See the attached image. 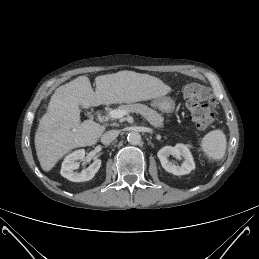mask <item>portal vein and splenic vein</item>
<instances>
[{"label": "portal vein and splenic vein", "mask_w": 259, "mask_h": 259, "mask_svg": "<svg viewBox=\"0 0 259 259\" xmlns=\"http://www.w3.org/2000/svg\"><path fill=\"white\" fill-rule=\"evenodd\" d=\"M127 114H128L127 111L120 110V109H114V110H111V111L109 112V116H110L111 118H116V119L122 118L123 116H125V115H127Z\"/></svg>", "instance_id": "1"}]
</instances>
